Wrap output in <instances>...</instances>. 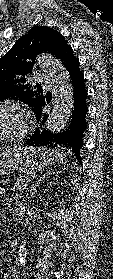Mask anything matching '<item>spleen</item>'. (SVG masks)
I'll list each match as a JSON object with an SVG mask.
<instances>
[{
    "label": "spleen",
    "mask_w": 113,
    "mask_h": 279,
    "mask_svg": "<svg viewBox=\"0 0 113 279\" xmlns=\"http://www.w3.org/2000/svg\"><path fill=\"white\" fill-rule=\"evenodd\" d=\"M55 154L57 159L62 163L66 155L61 150H55Z\"/></svg>",
    "instance_id": "1"
}]
</instances>
